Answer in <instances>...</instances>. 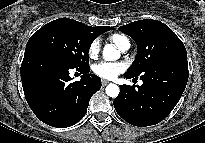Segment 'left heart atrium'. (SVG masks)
<instances>
[{"instance_id":"obj_1","label":"left heart atrium","mask_w":205,"mask_h":143,"mask_svg":"<svg viewBox=\"0 0 205 143\" xmlns=\"http://www.w3.org/2000/svg\"><path fill=\"white\" fill-rule=\"evenodd\" d=\"M125 69L121 62L101 61L93 65V72L104 79H114Z\"/></svg>"}]
</instances>
